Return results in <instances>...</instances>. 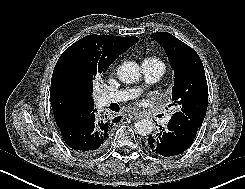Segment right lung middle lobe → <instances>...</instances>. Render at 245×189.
Masks as SVG:
<instances>
[{
  "label": "right lung middle lobe",
  "instance_id": "right-lung-middle-lobe-1",
  "mask_svg": "<svg viewBox=\"0 0 245 189\" xmlns=\"http://www.w3.org/2000/svg\"><path fill=\"white\" fill-rule=\"evenodd\" d=\"M101 75L102 74H98V73L88 75L87 78L84 80V84L82 88L92 93L93 92V81Z\"/></svg>",
  "mask_w": 245,
  "mask_h": 189
}]
</instances>
